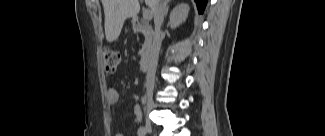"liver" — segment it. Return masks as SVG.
<instances>
[{"label": "liver", "mask_w": 325, "mask_h": 136, "mask_svg": "<svg viewBox=\"0 0 325 136\" xmlns=\"http://www.w3.org/2000/svg\"><path fill=\"white\" fill-rule=\"evenodd\" d=\"M105 13V35L106 40L111 43L115 41L122 30L124 21L135 18L140 11L139 0H102ZM151 7V0H146Z\"/></svg>", "instance_id": "6515ba94"}]
</instances>
